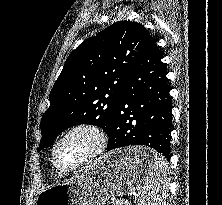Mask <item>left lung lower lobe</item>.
I'll return each instance as SVG.
<instances>
[{
	"label": "left lung lower lobe",
	"mask_w": 222,
	"mask_h": 205,
	"mask_svg": "<svg viewBox=\"0 0 222 205\" xmlns=\"http://www.w3.org/2000/svg\"><path fill=\"white\" fill-rule=\"evenodd\" d=\"M162 58L150 36L124 83L106 151L147 145L170 160L172 105Z\"/></svg>",
	"instance_id": "0a47b994"
}]
</instances>
